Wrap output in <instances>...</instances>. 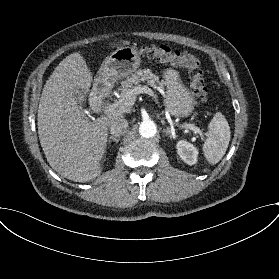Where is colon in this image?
I'll return each instance as SVG.
<instances>
[{
	"label": "colon",
	"mask_w": 279,
	"mask_h": 279,
	"mask_svg": "<svg viewBox=\"0 0 279 279\" xmlns=\"http://www.w3.org/2000/svg\"><path fill=\"white\" fill-rule=\"evenodd\" d=\"M141 55L155 58L161 62L188 69L190 74V86L193 94L200 100L208 97L207 80L200 61L193 53L173 49L166 45L146 44L138 47Z\"/></svg>",
	"instance_id": "1"
}]
</instances>
